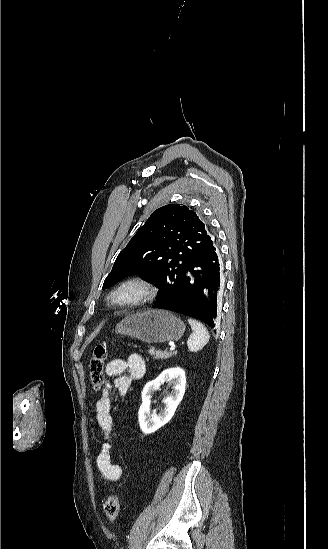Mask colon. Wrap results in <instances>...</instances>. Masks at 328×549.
Instances as JSON below:
<instances>
[{
    "label": "colon",
    "instance_id": "5ec220e1",
    "mask_svg": "<svg viewBox=\"0 0 328 549\" xmlns=\"http://www.w3.org/2000/svg\"><path fill=\"white\" fill-rule=\"evenodd\" d=\"M108 357L107 344H99L94 350L89 364L90 380L95 389H99L104 384V365ZM106 518L115 522L119 515L120 502L116 494L108 496L103 505Z\"/></svg>",
    "mask_w": 328,
    "mask_h": 549
}]
</instances>
